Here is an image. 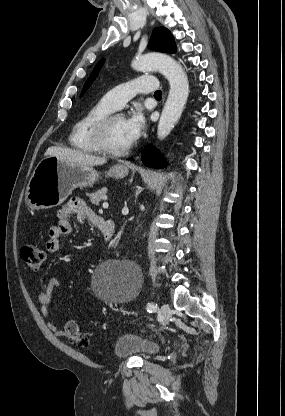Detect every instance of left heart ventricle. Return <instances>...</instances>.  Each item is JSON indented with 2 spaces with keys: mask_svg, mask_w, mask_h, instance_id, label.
<instances>
[{
  "mask_svg": "<svg viewBox=\"0 0 285 416\" xmlns=\"http://www.w3.org/2000/svg\"><path fill=\"white\" fill-rule=\"evenodd\" d=\"M106 140L113 149H122L129 145L124 133L123 117L114 118L107 129Z\"/></svg>",
  "mask_w": 285,
  "mask_h": 416,
  "instance_id": "left-heart-ventricle-1",
  "label": "left heart ventricle"
}]
</instances>
